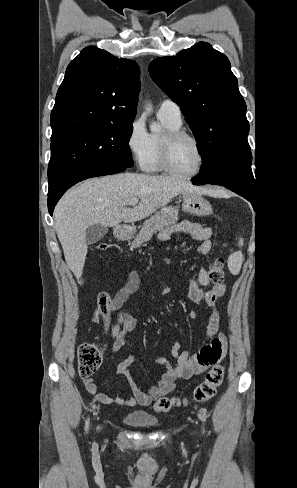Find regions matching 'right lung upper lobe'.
<instances>
[{
	"label": "right lung upper lobe",
	"instance_id": "cb5924a9",
	"mask_svg": "<svg viewBox=\"0 0 297 488\" xmlns=\"http://www.w3.org/2000/svg\"><path fill=\"white\" fill-rule=\"evenodd\" d=\"M139 66L94 46L70 62L51 112L52 135L82 126L132 124Z\"/></svg>",
	"mask_w": 297,
	"mask_h": 488
}]
</instances>
